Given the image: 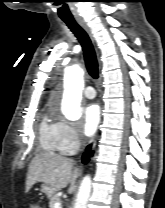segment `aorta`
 I'll return each instance as SVG.
<instances>
[{
	"label": "aorta",
	"mask_w": 165,
	"mask_h": 208,
	"mask_svg": "<svg viewBox=\"0 0 165 208\" xmlns=\"http://www.w3.org/2000/svg\"><path fill=\"white\" fill-rule=\"evenodd\" d=\"M83 70L74 65L66 69L65 92L62 100V112L71 121L81 117L80 102L84 88ZM91 193V177L85 176L80 184L74 208H87Z\"/></svg>",
	"instance_id": "obj_1"
}]
</instances>
